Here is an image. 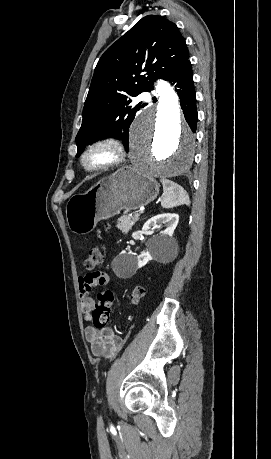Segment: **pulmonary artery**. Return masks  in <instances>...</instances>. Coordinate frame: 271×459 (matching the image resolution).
<instances>
[{
    "instance_id": "pulmonary-artery-1",
    "label": "pulmonary artery",
    "mask_w": 271,
    "mask_h": 459,
    "mask_svg": "<svg viewBox=\"0 0 271 459\" xmlns=\"http://www.w3.org/2000/svg\"><path fill=\"white\" fill-rule=\"evenodd\" d=\"M151 96V93L148 90H145L142 93V97L140 98V101L145 105L149 106L152 103V100L149 98Z\"/></svg>"
}]
</instances>
